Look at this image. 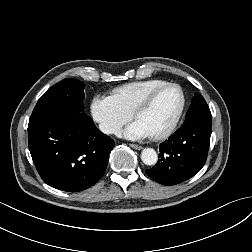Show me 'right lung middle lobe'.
Wrapping results in <instances>:
<instances>
[{
	"instance_id": "obj_1",
	"label": "right lung middle lobe",
	"mask_w": 252,
	"mask_h": 252,
	"mask_svg": "<svg viewBox=\"0 0 252 252\" xmlns=\"http://www.w3.org/2000/svg\"><path fill=\"white\" fill-rule=\"evenodd\" d=\"M85 84L75 79H64L48 89L38 100L29 123L60 112H82Z\"/></svg>"
}]
</instances>
